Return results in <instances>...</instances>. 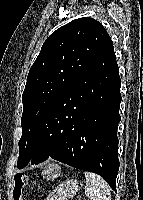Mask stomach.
I'll use <instances>...</instances> for the list:
<instances>
[{
	"label": "stomach",
	"instance_id": "obj_1",
	"mask_svg": "<svg viewBox=\"0 0 143 200\" xmlns=\"http://www.w3.org/2000/svg\"><path fill=\"white\" fill-rule=\"evenodd\" d=\"M52 170V173H55L57 167L50 165L48 169ZM79 190V183L76 179H67L64 182H61L46 198V200H69L74 197Z\"/></svg>",
	"mask_w": 143,
	"mask_h": 200
}]
</instances>
